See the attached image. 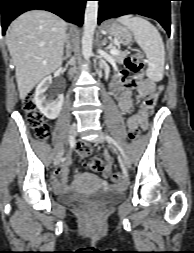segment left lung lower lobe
<instances>
[{
    "mask_svg": "<svg viewBox=\"0 0 194 253\" xmlns=\"http://www.w3.org/2000/svg\"><path fill=\"white\" fill-rule=\"evenodd\" d=\"M98 23L126 14H139L157 20L170 35V1L172 0H98Z\"/></svg>",
    "mask_w": 194,
    "mask_h": 253,
    "instance_id": "left-lung-lower-lobe-1",
    "label": "left lung lower lobe"
}]
</instances>
